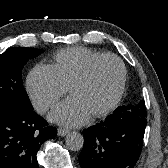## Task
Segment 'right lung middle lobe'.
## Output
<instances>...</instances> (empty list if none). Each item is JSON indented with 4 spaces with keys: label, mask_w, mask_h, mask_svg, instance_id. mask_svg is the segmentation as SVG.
Listing matches in <instances>:
<instances>
[{
    "label": "right lung middle lobe",
    "mask_w": 168,
    "mask_h": 168,
    "mask_svg": "<svg viewBox=\"0 0 168 168\" xmlns=\"http://www.w3.org/2000/svg\"><path fill=\"white\" fill-rule=\"evenodd\" d=\"M42 52L35 48L13 47L0 55V104L33 108L23 87L21 71L29 59Z\"/></svg>",
    "instance_id": "right-lung-middle-lobe-1"
}]
</instances>
